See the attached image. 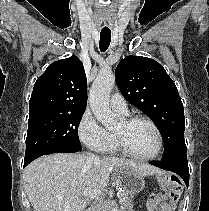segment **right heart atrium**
Instances as JSON below:
<instances>
[{
	"instance_id": "obj_1",
	"label": "right heart atrium",
	"mask_w": 209,
	"mask_h": 211,
	"mask_svg": "<svg viewBox=\"0 0 209 211\" xmlns=\"http://www.w3.org/2000/svg\"><path fill=\"white\" fill-rule=\"evenodd\" d=\"M80 141L89 149L100 151L108 141V131L101 126L90 110H86L77 128Z\"/></svg>"
}]
</instances>
